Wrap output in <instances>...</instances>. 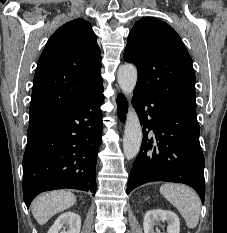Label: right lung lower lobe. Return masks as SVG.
<instances>
[{"mask_svg": "<svg viewBox=\"0 0 227 233\" xmlns=\"http://www.w3.org/2000/svg\"><path fill=\"white\" fill-rule=\"evenodd\" d=\"M103 102L102 86L29 125L23 157V197L27 207L35 196L49 190L73 188L95 194Z\"/></svg>", "mask_w": 227, "mask_h": 233, "instance_id": "obj_1", "label": "right lung lower lobe"}]
</instances>
